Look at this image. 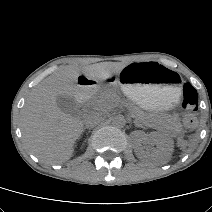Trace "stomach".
Here are the masks:
<instances>
[{
  "label": "stomach",
  "mask_w": 212,
  "mask_h": 212,
  "mask_svg": "<svg viewBox=\"0 0 212 212\" xmlns=\"http://www.w3.org/2000/svg\"><path fill=\"white\" fill-rule=\"evenodd\" d=\"M117 81L122 92L146 110L157 111L171 107L180 96L176 73L157 62L126 65Z\"/></svg>",
  "instance_id": "obj_1"
}]
</instances>
